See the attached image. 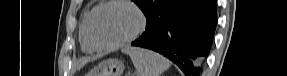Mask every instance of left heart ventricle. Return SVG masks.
Listing matches in <instances>:
<instances>
[{
    "instance_id": "b2bd125f",
    "label": "left heart ventricle",
    "mask_w": 287,
    "mask_h": 76,
    "mask_svg": "<svg viewBox=\"0 0 287 76\" xmlns=\"http://www.w3.org/2000/svg\"><path fill=\"white\" fill-rule=\"evenodd\" d=\"M138 25L136 13L123 4H112L99 9L92 19L94 38L101 43H114L130 35Z\"/></svg>"
}]
</instances>
